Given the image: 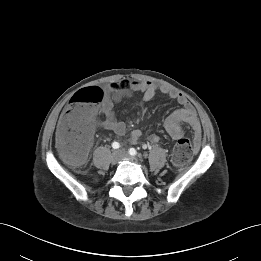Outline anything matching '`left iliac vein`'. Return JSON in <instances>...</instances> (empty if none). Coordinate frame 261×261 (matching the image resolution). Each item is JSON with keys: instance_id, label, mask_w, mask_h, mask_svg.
Here are the masks:
<instances>
[{"instance_id": "4c4485c4", "label": "left iliac vein", "mask_w": 261, "mask_h": 261, "mask_svg": "<svg viewBox=\"0 0 261 261\" xmlns=\"http://www.w3.org/2000/svg\"><path fill=\"white\" fill-rule=\"evenodd\" d=\"M118 153L121 158H127L130 160H134V158L132 156H130L125 150H120V151H118Z\"/></svg>"}]
</instances>
